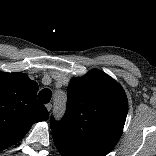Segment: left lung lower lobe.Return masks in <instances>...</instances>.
I'll list each match as a JSON object with an SVG mask.
<instances>
[{
  "label": "left lung lower lobe",
  "instance_id": "0a47b994",
  "mask_svg": "<svg viewBox=\"0 0 156 156\" xmlns=\"http://www.w3.org/2000/svg\"><path fill=\"white\" fill-rule=\"evenodd\" d=\"M53 139L62 156H94L83 150L74 148L58 138L53 137Z\"/></svg>",
  "mask_w": 156,
  "mask_h": 156
}]
</instances>
